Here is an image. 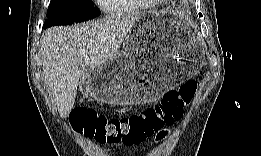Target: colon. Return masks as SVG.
Listing matches in <instances>:
<instances>
[{"label": "colon", "instance_id": "colon-1", "mask_svg": "<svg viewBox=\"0 0 261 156\" xmlns=\"http://www.w3.org/2000/svg\"><path fill=\"white\" fill-rule=\"evenodd\" d=\"M197 87V81H187L167 92L159 103L122 117L108 118L91 108H77L70 122L79 133L102 144L131 146L152 137L158 141L164 136V128L181 117Z\"/></svg>", "mask_w": 261, "mask_h": 156}]
</instances>
